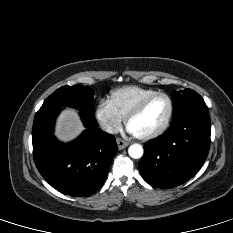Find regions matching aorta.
Listing matches in <instances>:
<instances>
[{
	"label": "aorta",
	"mask_w": 233,
	"mask_h": 233,
	"mask_svg": "<svg viewBox=\"0 0 233 233\" xmlns=\"http://www.w3.org/2000/svg\"><path fill=\"white\" fill-rule=\"evenodd\" d=\"M129 156L134 159H139L143 156V148L139 144H133L128 149Z\"/></svg>",
	"instance_id": "1"
}]
</instances>
